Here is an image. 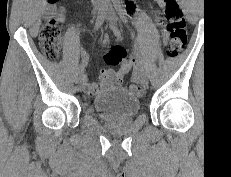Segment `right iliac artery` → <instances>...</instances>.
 Returning <instances> with one entry per match:
<instances>
[{"label": "right iliac artery", "mask_w": 231, "mask_h": 177, "mask_svg": "<svg viewBox=\"0 0 231 177\" xmlns=\"http://www.w3.org/2000/svg\"><path fill=\"white\" fill-rule=\"evenodd\" d=\"M107 9H108V2L105 1L101 5L100 10L98 12V16H97V19H96V22H95L94 30H98L102 26V24H103V22L105 20V17H106ZM84 70H85V64L82 63L78 68L79 75H83Z\"/></svg>", "instance_id": "1"}]
</instances>
